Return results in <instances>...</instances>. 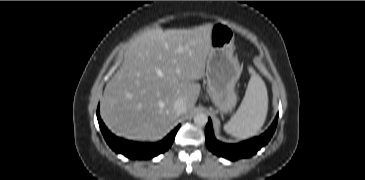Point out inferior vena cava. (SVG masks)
Instances as JSON below:
<instances>
[{
    "mask_svg": "<svg viewBox=\"0 0 365 180\" xmlns=\"http://www.w3.org/2000/svg\"><path fill=\"white\" fill-rule=\"evenodd\" d=\"M174 111L178 116L186 113L187 107L184 99L182 98L176 99V101L174 102Z\"/></svg>",
    "mask_w": 365,
    "mask_h": 180,
    "instance_id": "obj_1",
    "label": "inferior vena cava"
}]
</instances>
